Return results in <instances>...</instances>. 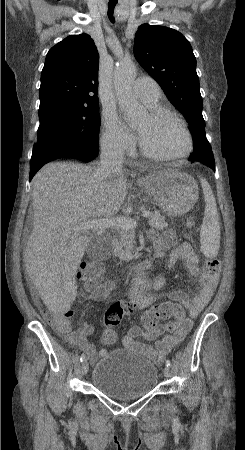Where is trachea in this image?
Returning <instances> with one entry per match:
<instances>
[{
  "label": "trachea",
  "mask_w": 245,
  "mask_h": 450,
  "mask_svg": "<svg viewBox=\"0 0 245 450\" xmlns=\"http://www.w3.org/2000/svg\"><path fill=\"white\" fill-rule=\"evenodd\" d=\"M117 4V0H110L109 4H108V16L111 22H114L113 19V12H114V8Z\"/></svg>",
  "instance_id": "3493384b"
}]
</instances>
